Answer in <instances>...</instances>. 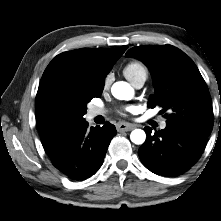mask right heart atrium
<instances>
[{
	"label": "right heart atrium",
	"instance_id": "obj_1",
	"mask_svg": "<svg viewBox=\"0 0 221 221\" xmlns=\"http://www.w3.org/2000/svg\"><path fill=\"white\" fill-rule=\"evenodd\" d=\"M108 80H109V77H107L106 81L108 82Z\"/></svg>",
	"mask_w": 221,
	"mask_h": 221
}]
</instances>
